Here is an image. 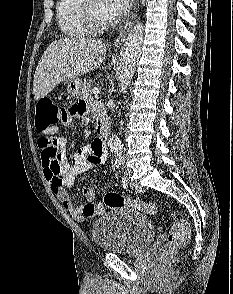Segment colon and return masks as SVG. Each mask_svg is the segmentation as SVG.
<instances>
[{"mask_svg":"<svg viewBox=\"0 0 233 294\" xmlns=\"http://www.w3.org/2000/svg\"><path fill=\"white\" fill-rule=\"evenodd\" d=\"M59 114H61L60 108L51 99L43 98L38 101L35 125L41 134L39 139L40 145L49 146L54 142L55 137H43V132H59L61 128H54L55 120H63L59 119ZM105 207L110 209L128 207L148 215H154L158 211L154 203L130 199L118 193H108L105 195L103 203L89 204L85 207V212L87 214H99ZM189 236V224L183 219L176 220L167 235L166 244L159 252V260L164 261L173 250L186 244Z\"/></svg>","mask_w":233,"mask_h":294,"instance_id":"colon-1","label":"colon"}]
</instances>
